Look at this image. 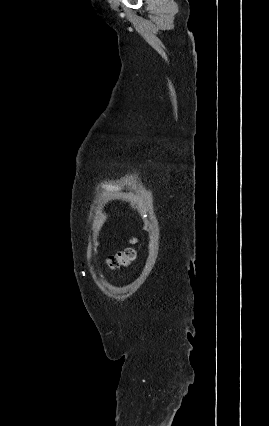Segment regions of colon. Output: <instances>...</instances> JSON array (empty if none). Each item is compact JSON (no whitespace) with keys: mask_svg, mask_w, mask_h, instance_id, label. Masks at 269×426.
<instances>
[{"mask_svg":"<svg viewBox=\"0 0 269 426\" xmlns=\"http://www.w3.org/2000/svg\"><path fill=\"white\" fill-rule=\"evenodd\" d=\"M136 260L137 250L134 247H128L116 255L109 257L107 263L110 268L119 269L132 265Z\"/></svg>","mask_w":269,"mask_h":426,"instance_id":"obj_1","label":"colon"}]
</instances>
